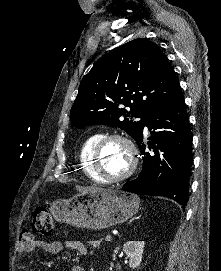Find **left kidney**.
I'll return each mask as SVG.
<instances>
[{
  "label": "left kidney",
  "mask_w": 221,
  "mask_h": 271,
  "mask_svg": "<svg viewBox=\"0 0 221 271\" xmlns=\"http://www.w3.org/2000/svg\"><path fill=\"white\" fill-rule=\"evenodd\" d=\"M144 247L145 241H126V243H124L123 251L129 259V267H131V269H135V267L140 265Z\"/></svg>",
  "instance_id": "left-kidney-1"
}]
</instances>
